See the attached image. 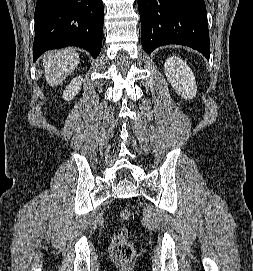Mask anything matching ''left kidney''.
<instances>
[{"label": "left kidney", "instance_id": "5707ae66", "mask_svg": "<svg viewBox=\"0 0 253 271\" xmlns=\"http://www.w3.org/2000/svg\"><path fill=\"white\" fill-rule=\"evenodd\" d=\"M164 72L173 89L184 99H192L197 92L194 74L179 57H169L164 64Z\"/></svg>", "mask_w": 253, "mask_h": 271}]
</instances>
